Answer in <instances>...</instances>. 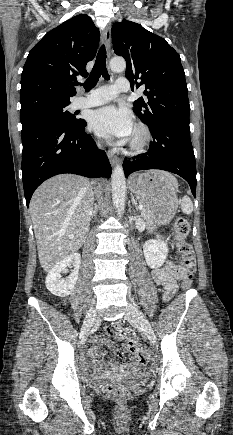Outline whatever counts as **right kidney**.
<instances>
[{"label": "right kidney", "mask_w": 233, "mask_h": 435, "mask_svg": "<svg viewBox=\"0 0 233 435\" xmlns=\"http://www.w3.org/2000/svg\"><path fill=\"white\" fill-rule=\"evenodd\" d=\"M81 256L78 253H73L66 257L64 260L55 265L48 273L46 277V288L53 294L59 297H66L70 295L75 287L78 279V273L80 268ZM73 267L69 277L61 278V272L66 269L67 266Z\"/></svg>", "instance_id": "1"}]
</instances>
